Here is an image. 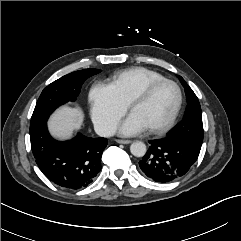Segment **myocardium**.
I'll use <instances>...</instances> for the list:
<instances>
[{
	"label": "myocardium",
	"instance_id": "1",
	"mask_svg": "<svg viewBox=\"0 0 241 241\" xmlns=\"http://www.w3.org/2000/svg\"><path fill=\"white\" fill-rule=\"evenodd\" d=\"M163 84L173 85L176 88L178 98H177L176 107H175L174 112H173L172 116L170 117V119L161 126L148 128L151 132L156 133V134H161V133L167 132L174 126V124L177 121V118L179 116V113L181 111L182 104H183V93H182V90H181L180 86L178 85V83H176L173 80L166 79V78L151 82L147 86H145L138 94H136L129 103V109L132 112L133 108L137 104L146 101L150 97V95L153 93V91Z\"/></svg>",
	"mask_w": 241,
	"mask_h": 241
}]
</instances>
